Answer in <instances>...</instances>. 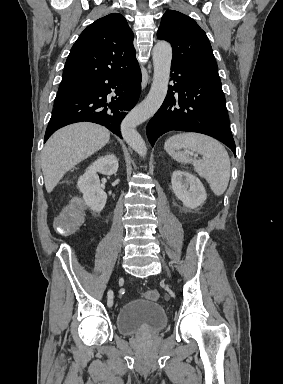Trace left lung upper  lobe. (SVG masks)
Wrapping results in <instances>:
<instances>
[{"mask_svg": "<svg viewBox=\"0 0 283 384\" xmlns=\"http://www.w3.org/2000/svg\"><path fill=\"white\" fill-rule=\"evenodd\" d=\"M157 38L171 43L172 64L219 77L209 39L189 16L167 10L162 17Z\"/></svg>", "mask_w": 283, "mask_h": 384, "instance_id": "5c2ea615", "label": "left lung upper lobe"}]
</instances>
